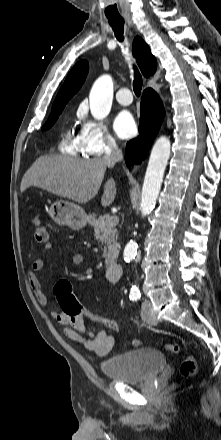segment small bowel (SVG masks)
Returning a JSON list of instances; mask_svg holds the SVG:
<instances>
[{"label": "small bowel", "mask_w": 221, "mask_h": 440, "mask_svg": "<svg viewBox=\"0 0 221 440\" xmlns=\"http://www.w3.org/2000/svg\"><path fill=\"white\" fill-rule=\"evenodd\" d=\"M51 248L52 245H48L46 247L47 250ZM82 262V254L75 253L72 257V263L74 265H80ZM42 269V259H34L30 264L27 278L38 303L43 307H48V298L44 293L41 282L37 276V273H39ZM50 313L51 316L64 327L65 335L71 340L80 343L87 350L92 351L97 355L104 356L113 348L115 344V337L109 330H101L98 333H92L87 330L86 318L78 317L77 321H70L68 320L67 315H61L60 309L51 310Z\"/></svg>", "instance_id": "small-bowel-1"}]
</instances>
